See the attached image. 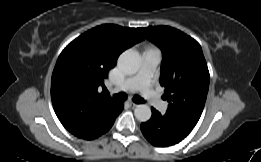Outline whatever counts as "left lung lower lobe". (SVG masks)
Instances as JSON below:
<instances>
[{"label":"left lung lower lobe","instance_id":"obj_1","mask_svg":"<svg viewBox=\"0 0 261 162\" xmlns=\"http://www.w3.org/2000/svg\"><path fill=\"white\" fill-rule=\"evenodd\" d=\"M151 110V119L141 124V131L154 146L167 147L177 144L194 128L184 119L168 114L161 115L154 108Z\"/></svg>","mask_w":261,"mask_h":162}]
</instances>
